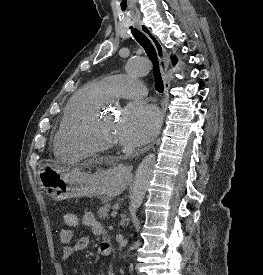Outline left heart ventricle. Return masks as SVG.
Returning <instances> with one entry per match:
<instances>
[{
	"mask_svg": "<svg viewBox=\"0 0 263 275\" xmlns=\"http://www.w3.org/2000/svg\"><path fill=\"white\" fill-rule=\"evenodd\" d=\"M117 116L111 112L103 114L99 124V136L101 139L119 144L121 141L117 132Z\"/></svg>",
	"mask_w": 263,
	"mask_h": 275,
	"instance_id": "obj_1",
	"label": "left heart ventricle"
}]
</instances>
